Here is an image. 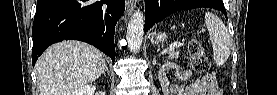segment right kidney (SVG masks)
I'll return each instance as SVG.
<instances>
[{"instance_id": "ca27d5eb", "label": "right kidney", "mask_w": 277, "mask_h": 95, "mask_svg": "<svg viewBox=\"0 0 277 95\" xmlns=\"http://www.w3.org/2000/svg\"><path fill=\"white\" fill-rule=\"evenodd\" d=\"M96 87L92 84L84 85L77 89L73 95H94Z\"/></svg>"}]
</instances>
